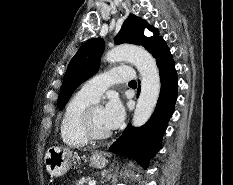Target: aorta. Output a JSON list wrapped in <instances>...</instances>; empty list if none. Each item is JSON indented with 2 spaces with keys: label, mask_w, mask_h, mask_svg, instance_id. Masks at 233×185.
Masks as SVG:
<instances>
[{
  "label": "aorta",
  "mask_w": 233,
  "mask_h": 185,
  "mask_svg": "<svg viewBox=\"0 0 233 185\" xmlns=\"http://www.w3.org/2000/svg\"><path fill=\"white\" fill-rule=\"evenodd\" d=\"M108 62L129 61L141 75V92L134 111L132 125L140 127L151 117L160 93L161 82L158 68L152 55L142 47L120 45L106 54Z\"/></svg>",
  "instance_id": "1"
}]
</instances>
